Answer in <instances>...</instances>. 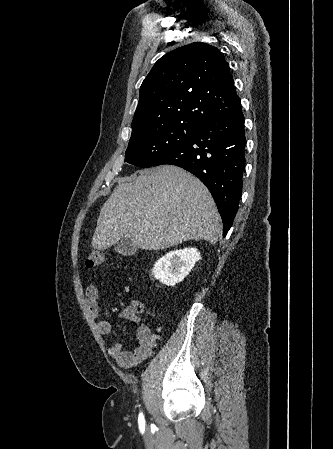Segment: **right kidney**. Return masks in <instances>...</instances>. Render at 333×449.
Wrapping results in <instances>:
<instances>
[{
  "label": "right kidney",
  "mask_w": 333,
  "mask_h": 449,
  "mask_svg": "<svg viewBox=\"0 0 333 449\" xmlns=\"http://www.w3.org/2000/svg\"><path fill=\"white\" fill-rule=\"evenodd\" d=\"M200 259V252L193 247L170 251L157 260L152 274L162 284L174 286L184 280Z\"/></svg>",
  "instance_id": "right-kidney-1"
}]
</instances>
